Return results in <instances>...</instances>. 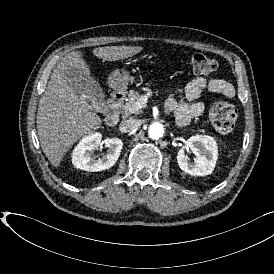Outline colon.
<instances>
[{
    "mask_svg": "<svg viewBox=\"0 0 274 274\" xmlns=\"http://www.w3.org/2000/svg\"><path fill=\"white\" fill-rule=\"evenodd\" d=\"M192 70L201 75H210L217 71V62L214 58L195 53L189 58ZM212 126L221 133L233 130L237 121L236 107L229 101H219L214 104L209 113Z\"/></svg>",
    "mask_w": 274,
    "mask_h": 274,
    "instance_id": "5ec220e1",
    "label": "colon"
}]
</instances>
